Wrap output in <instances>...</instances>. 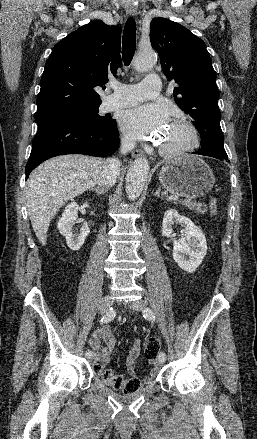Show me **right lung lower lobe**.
<instances>
[{"label":"right lung lower lobe","mask_w":257,"mask_h":439,"mask_svg":"<svg viewBox=\"0 0 257 439\" xmlns=\"http://www.w3.org/2000/svg\"><path fill=\"white\" fill-rule=\"evenodd\" d=\"M119 146L116 120L108 124L60 116L38 122V132L26 165V179L43 161L64 154H85L106 157Z\"/></svg>","instance_id":"obj_1"}]
</instances>
